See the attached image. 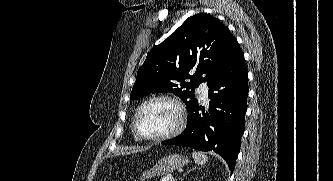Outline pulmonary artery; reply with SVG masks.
I'll use <instances>...</instances> for the list:
<instances>
[{"mask_svg":"<svg viewBox=\"0 0 333 181\" xmlns=\"http://www.w3.org/2000/svg\"><path fill=\"white\" fill-rule=\"evenodd\" d=\"M197 92L200 94V96H201L204 100H206L207 97H208V86H207V84H206V83H202V84L199 86Z\"/></svg>","mask_w":333,"mask_h":181,"instance_id":"1","label":"pulmonary artery"}]
</instances>
